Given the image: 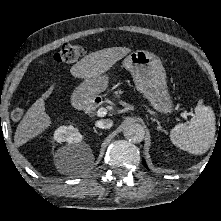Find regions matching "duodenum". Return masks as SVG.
<instances>
[{
  "label": "duodenum",
  "mask_w": 221,
  "mask_h": 221,
  "mask_svg": "<svg viewBox=\"0 0 221 221\" xmlns=\"http://www.w3.org/2000/svg\"><path fill=\"white\" fill-rule=\"evenodd\" d=\"M100 100H101L100 98H95V97L86 99L82 96H77L75 98V104L85 112L89 113L97 109Z\"/></svg>",
  "instance_id": "duodenum-1"
}]
</instances>
